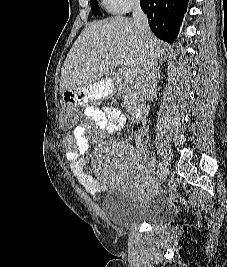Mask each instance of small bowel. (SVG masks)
<instances>
[{
    "mask_svg": "<svg viewBox=\"0 0 227 267\" xmlns=\"http://www.w3.org/2000/svg\"><path fill=\"white\" fill-rule=\"evenodd\" d=\"M126 124L123 112L115 107L99 109L87 105L84 109V119L75 127L72 134H64L65 157L69 162L70 170L79 184L91 195L100 193L103 184L85 169L84 154L91 141L102 140L110 134L121 131ZM139 181L136 191L142 196L153 193V187L146 171L138 172Z\"/></svg>",
    "mask_w": 227,
    "mask_h": 267,
    "instance_id": "small-bowel-1",
    "label": "small bowel"
}]
</instances>
